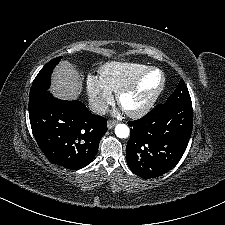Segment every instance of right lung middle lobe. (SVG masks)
Listing matches in <instances>:
<instances>
[{
  "label": "right lung middle lobe",
  "mask_w": 225,
  "mask_h": 225,
  "mask_svg": "<svg viewBox=\"0 0 225 225\" xmlns=\"http://www.w3.org/2000/svg\"><path fill=\"white\" fill-rule=\"evenodd\" d=\"M61 58L62 57H57L55 59H52L40 70V72L33 81L29 97L48 90L50 85V75L56 64H58L61 60Z\"/></svg>",
  "instance_id": "obj_1"
}]
</instances>
